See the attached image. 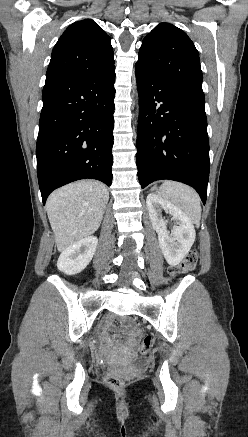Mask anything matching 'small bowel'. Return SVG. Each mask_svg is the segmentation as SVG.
<instances>
[{"label": "small bowel", "mask_w": 248, "mask_h": 437, "mask_svg": "<svg viewBox=\"0 0 248 437\" xmlns=\"http://www.w3.org/2000/svg\"><path fill=\"white\" fill-rule=\"evenodd\" d=\"M121 329H122V332L124 334H126L127 338H126V341L124 343L117 344L115 346V348H117L119 350H125V349H127L135 344L136 339H137V334L134 330H131L130 323H125ZM108 347L110 348V343L108 344Z\"/></svg>", "instance_id": "1"}]
</instances>
